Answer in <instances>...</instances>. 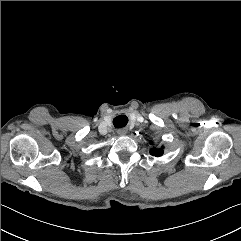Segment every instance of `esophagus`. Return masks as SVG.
I'll return each mask as SVG.
<instances>
[{"label":"esophagus","mask_w":241,"mask_h":241,"mask_svg":"<svg viewBox=\"0 0 241 241\" xmlns=\"http://www.w3.org/2000/svg\"><path fill=\"white\" fill-rule=\"evenodd\" d=\"M117 133H118L119 135H125V134L127 133V131L124 130V129H120V130L117 131Z\"/></svg>","instance_id":"obj_1"}]
</instances>
